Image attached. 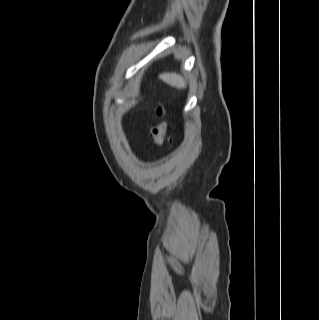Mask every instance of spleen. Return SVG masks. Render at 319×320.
I'll return each instance as SVG.
<instances>
[{
    "mask_svg": "<svg viewBox=\"0 0 319 320\" xmlns=\"http://www.w3.org/2000/svg\"><path fill=\"white\" fill-rule=\"evenodd\" d=\"M159 78L172 87H176L179 89L186 88L185 80L180 75H177L176 73H162L159 75Z\"/></svg>",
    "mask_w": 319,
    "mask_h": 320,
    "instance_id": "1",
    "label": "spleen"
}]
</instances>
